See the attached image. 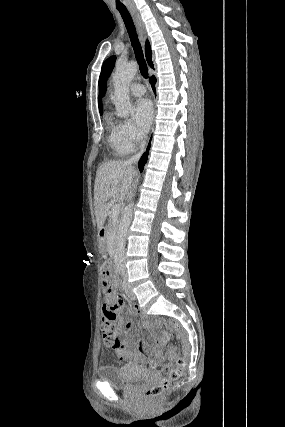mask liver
I'll list each match as a JSON object with an SVG mask.
<instances>
[{
  "instance_id": "1",
  "label": "liver",
  "mask_w": 285,
  "mask_h": 427,
  "mask_svg": "<svg viewBox=\"0 0 285 427\" xmlns=\"http://www.w3.org/2000/svg\"><path fill=\"white\" fill-rule=\"evenodd\" d=\"M136 174L134 167L127 161L105 162L97 170L94 185V206L99 230L103 228L111 206L125 199Z\"/></svg>"
}]
</instances>
